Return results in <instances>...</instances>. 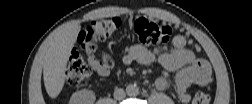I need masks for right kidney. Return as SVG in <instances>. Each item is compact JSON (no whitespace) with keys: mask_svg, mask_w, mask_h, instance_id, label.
I'll list each match as a JSON object with an SVG mask.
<instances>
[{"mask_svg":"<svg viewBox=\"0 0 252 104\" xmlns=\"http://www.w3.org/2000/svg\"><path fill=\"white\" fill-rule=\"evenodd\" d=\"M95 101V94L89 90L75 92L70 99L72 104H92Z\"/></svg>","mask_w":252,"mask_h":104,"instance_id":"1","label":"right kidney"}]
</instances>
